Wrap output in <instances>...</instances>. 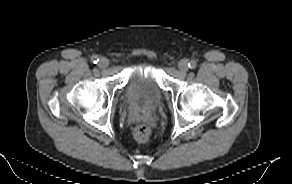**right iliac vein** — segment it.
Segmentation results:
<instances>
[{
    "label": "right iliac vein",
    "mask_w": 292,
    "mask_h": 184,
    "mask_svg": "<svg viewBox=\"0 0 292 184\" xmlns=\"http://www.w3.org/2000/svg\"><path fill=\"white\" fill-rule=\"evenodd\" d=\"M98 65L101 67V68H106L108 67L109 65V60L105 57H102L100 58V60L98 61Z\"/></svg>",
    "instance_id": "obj_1"
}]
</instances>
